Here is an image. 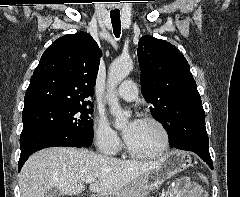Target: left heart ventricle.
Here are the masks:
<instances>
[{"instance_id":"b2bd125f","label":"left heart ventricle","mask_w":240,"mask_h":197,"mask_svg":"<svg viewBox=\"0 0 240 197\" xmlns=\"http://www.w3.org/2000/svg\"><path fill=\"white\" fill-rule=\"evenodd\" d=\"M127 144L136 152L151 153L160 148L162 136L154 124L141 120L136 132L127 141Z\"/></svg>"}]
</instances>
